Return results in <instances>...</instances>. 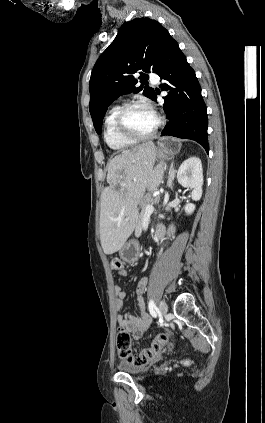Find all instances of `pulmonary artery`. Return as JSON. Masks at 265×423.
Returning <instances> with one entry per match:
<instances>
[{"mask_svg":"<svg viewBox=\"0 0 265 423\" xmlns=\"http://www.w3.org/2000/svg\"><path fill=\"white\" fill-rule=\"evenodd\" d=\"M150 78L155 82L157 81V76L155 74H151Z\"/></svg>","mask_w":265,"mask_h":423,"instance_id":"pulmonary-artery-1","label":"pulmonary artery"}]
</instances>
